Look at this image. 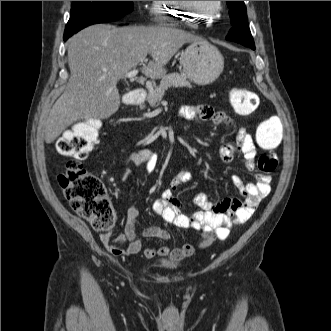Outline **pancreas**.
I'll use <instances>...</instances> for the list:
<instances>
[{"instance_id": "1", "label": "pancreas", "mask_w": 331, "mask_h": 331, "mask_svg": "<svg viewBox=\"0 0 331 331\" xmlns=\"http://www.w3.org/2000/svg\"><path fill=\"white\" fill-rule=\"evenodd\" d=\"M171 87H188L191 88L190 82L186 79L185 76L179 73H172L164 76L158 86H155L153 89H149L147 96V101L151 107H156L157 104L162 100L165 91ZM141 109L144 106H140Z\"/></svg>"}]
</instances>
